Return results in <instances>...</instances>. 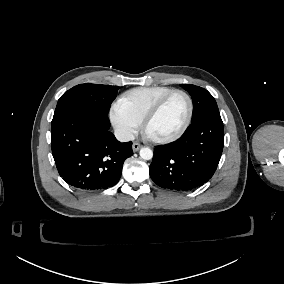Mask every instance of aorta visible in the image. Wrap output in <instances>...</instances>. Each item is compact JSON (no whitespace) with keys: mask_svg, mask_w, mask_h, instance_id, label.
<instances>
[{"mask_svg":"<svg viewBox=\"0 0 284 284\" xmlns=\"http://www.w3.org/2000/svg\"><path fill=\"white\" fill-rule=\"evenodd\" d=\"M139 154L144 160H150L153 158V151L148 147L141 148Z\"/></svg>","mask_w":284,"mask_h":284,"instance_id":"obj_1","label":"aorta"}]
</instances>
